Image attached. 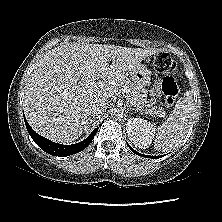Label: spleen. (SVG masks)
Returning a JSON list of instances; mask_svg holds the SVG:
<instances>
[{
  "label": "spleen",
  "instance_id": "obj_1",
  "mask_svg": "<svg viewBox=\"0 0 222 222\" xmlns=\"http://www.w3.org/2000/svg\"><path fill=\"white\" fill-rule=\"evenodd\" d=\"M195 112L193 94L186 91L177 101L173 113L158 127L155 149L167 152L178 147L192 126Z\"/></svg>",
  "mask_w": 222,
  "mask_h": 222
}]
</instances>
